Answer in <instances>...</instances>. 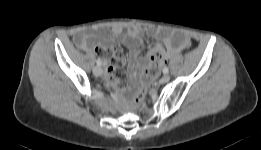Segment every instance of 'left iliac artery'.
I'll use <instances>...</instances> for the list:
<instances>
[{
    "label": "left iliac artery",
    "instance_id": "left-iliac-artery-1",
    "mask_svg": "<svg viewBox=\"0 0 261 150\" xmlns=\"http://www.w3.org/2000/svg\"><path fill=\"white\" fill-rule=\"evenodd\" d=\"M168 72H169L168 68H167V67H164V68H163V73L166 74V73H168Z\"/></svg>",
    "mask_w": 261,
    "mask_h": 150
}]
</instances>
